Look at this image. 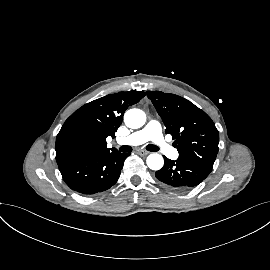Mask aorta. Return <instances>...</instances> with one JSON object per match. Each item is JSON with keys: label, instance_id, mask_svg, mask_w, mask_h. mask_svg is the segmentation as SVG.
<instances>
[{"label": "aorta", "instance_id": "aorta-1", "mask_svg": "<svg viewBox=\"0 0 270 270\" xmlns=\"http://www.w3.org/2000/svg\"><path fill=\"white\" fill-rule=\"evenodd\" d=\"M124 122L129 128H140L146 122V114L141 109H129L124 115ZM146 163L150 169L159 170L163 167L164 160L160 154L153 153L147 157Z\"/></svg>", "mask_w": 270, "mask_h": 270}]
</instances>
